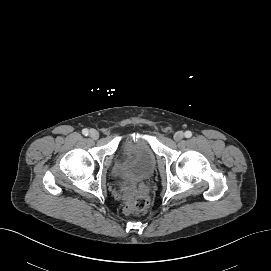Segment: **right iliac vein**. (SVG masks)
<instances>
[{
	"instance_id": "1",
	"label": "right iliac vein",
	"mask_w": 271,
	"mask_h": 271,
	"mask_svg": "<svg viewBox=\"0 0 271 271\" xmlns=\"http://www.w3.org/2000/svg\"><path fill=\"white\" fill-rule=\"evenodd\" d=\"M89 136H90L92 139L96 140V139H98V137H99V133H98L97 130L91 129L90 132H89Z\"/></svg>"
}]
</instances>
